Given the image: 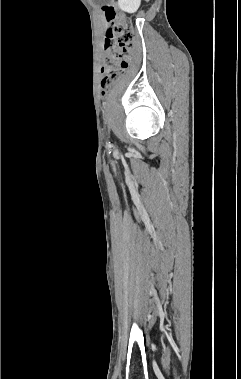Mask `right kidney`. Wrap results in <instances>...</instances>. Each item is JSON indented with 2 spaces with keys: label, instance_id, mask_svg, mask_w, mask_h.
I'll list each match as a JSON object with an SVG mask.
<instances>
[{
  "label": "right kidney",
  "instance_id": "1",
  "mask_svg": "<svg viewBox=\"0 0 241 379\" xmlns=\"http://www.w3.org/2000/svg\"><path fill=\"white\" fill-rule=\"evenodd\" d=\"M141 0H118V7L125 12L134 13L137 11Z\"/></svg>",
  "mask_w": 241,
  "mask_h": 379
}]
</instances>
